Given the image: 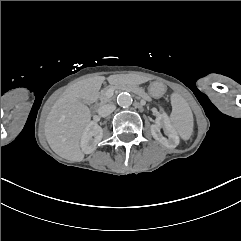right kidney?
Masks as SVG:
<instances>
[{
    "mask_svg": "<svg viewBox=\"0 0 241 241\" xmlns=\"http://www.w3.org/2000/svg\"><path fill=\"white\" fill-rule=\"evenodd\" d=\"M103 130L96 123L91 121L84 129L80 146L85 154H90L96 150L97 144L102 140Z\"/></svg>",
    "mask_w": 241,
    "mask_h": 241,
    "instance_id": "right-kidney-1",
    "label": "right kidney"
}]
</instances>
